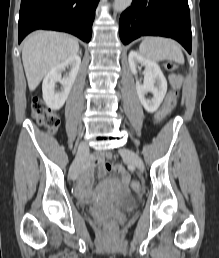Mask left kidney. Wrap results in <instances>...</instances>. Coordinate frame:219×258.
I'll return each instance as SVG.
<instances>
[{"instance_id": "5707ae66", "label": "left kidney", "mask_w": 219, "mask_h": 258, "mask_svg": "<svg viewBox=\"0 0 219 258\" xmlns=\"http://www.w3.org/2000/svg\"><path fill=\"white\" fill-rule=\"evenodd\" d=\"M128 61L130 70L135 76L137 75L138 64L145 67L144 82L140 84L136 80V90L145 110L149 113H154L159 108L167 92L166 78L156 62L144 58L136 51H130ZM148 92L152 93V99H146L145 95Z\"/></svg>"}]
</instances>
